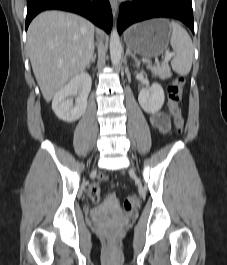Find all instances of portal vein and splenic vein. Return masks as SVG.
Listing matches in <instances>:
<instances>
[{
  "label": "portal vein and splenic vein",
  "mask_w": 227,
  "mask_h": 265,
  "mask_svg": "<svg viewBox=\"0 0 227 265\" xmlns=\"http://www.w3.org/2000/svg\"><path fill=\"white\" fill-rule=\"evenodd\" d=\"M172 56H173V53H171V52H166V53H165V56H164V61H165V62H168V61L172 58Z\"/></svg>",
  "instance_id": "18ae733b"
}]
</instances>
